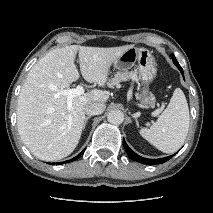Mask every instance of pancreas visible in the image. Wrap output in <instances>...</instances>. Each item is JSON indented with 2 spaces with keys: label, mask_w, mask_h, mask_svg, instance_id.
Returning a JSON list of instances; mask_svg holds the SVG:
<instances>
[{
  "label": "pancreas",
  "mask_w": 213,
  "mask_h": 213,
  "mask_svg": "<svg viewBox=\"0 0 213 213\" xmlns=\"http://www.w3.org/2000/svg\"><path fill=\"white\" fill-rule=\"evenodd\" d=\"M137 77V73L135 71H124V72H117L113 78H111L108 86L114 87L118 86L120 82L127 81L129 79L135 80Z\"/></svg>",
  "instance_id": "obj_1"
}]
</instances>
